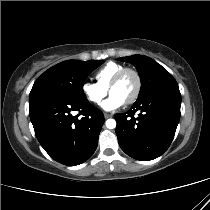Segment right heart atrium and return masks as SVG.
Returning a JSON list of instances; mask_svg holds the SVG:
<instances>
[{"instance_id": "right-heart-atrium-1", "label": "right heart atrium", "mask_w": 210, "mask_h": 210, "mask_svg": "<svg viewBox=\"0 0 210 210\" xmlns=\"http://www.w3.org/2000/svg\"><path fill=\"white\" fill-rule=\"evenodd\" d=\"M81 92L89 103L97 105L106 96L107 89L100 87L97 83L84 81L81 85Z\"/></svg>"}]
</instances>
